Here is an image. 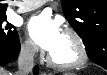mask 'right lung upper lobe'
Instances as JSON below:
<instances>
[{
    "mask_svg": "<svg viewBox=\"0 0 107 75\" xmlns=\"http://www.w3.org/2000/svg\"><path fill=\"white\" fill-rule=\"evenodd\" d=\"M8 4H5L3 0H0V16H6V9Z\"/></svg>",
    "mask_w": 107,
    "mask_h": 75,
    "instance_id": "cb5924a9",
    "label": "right lung upper lobe"
}]
</instances>
